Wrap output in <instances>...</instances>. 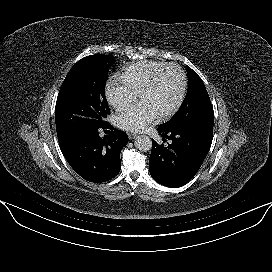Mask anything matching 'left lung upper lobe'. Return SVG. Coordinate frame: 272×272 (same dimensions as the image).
Listing matches in <instances>:
<instances>
[{
	"instance_id": "1",
	"label": "left lung upper lobe",
	"mask_w": 272,
	"mask_h": 272,
	"mask_svg": "<svg viewBox=\"0 0 272 272\" xmlns=\"http://www.w3.org/2000/svg\"><path fill=\"white\" fill-rule=\"evenodd\" d=\"M188 92L181 109L165 124L166 130L198 128L213 131V107L202 79L187 66Z\"/></svg>"
}]
</instances>
